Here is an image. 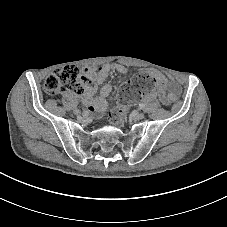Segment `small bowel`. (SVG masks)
Returning a JSON list of instances; mask_svg holds the SVG:
<instances>
[{"mask_svg": "<svg viewBox=\"0 0 227 227\" xmlns=\"http://www.w3.org/2000/svg\"><path fill=\"white\" fill-rule=\"evenodd\" d=\"M111 71L127 73L128 68L122 64H104L100 67L87 66L82 70V81L84 90L80 94L88 110L96 114L103 113L108 106V98L112 93V86L106 83V79ZM148 74L154 79L156 91H151L146 95L147 99L159 96L161 102L170 105L178 99L181 88L175 81L168 82L167 78L158 71L151 70ZM98 85L100 95L95 97Z\"/></svg>", "mask_w": 227, "mask_h": 227, "instance_id": "obj_1", "label": "small bowel"}]
</instances>
